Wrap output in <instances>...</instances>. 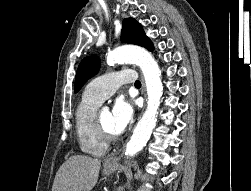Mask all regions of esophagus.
I'll list each match as a JSON object with an SVG mask.
<instances>
[{
	"mask_svg": "<svg viewBox=\"0 0 251 191\" xmlns=\"http://www.w3.org/2000/svg\"><path fill=\"white\" fill-rule=\"evenodd\" d=\"M141 78H142V93L145 95V92H146L145 82H144L143 77H141ZM144 105H145V103H144ZM143 111H144V107H143V109H142V113H143ZM142 113H141V114H142ZM118 160H119V158H118L117 156H115V157H113V158H108V159L106 160V163H105V164H106L107 166L114 167V166L117 164Z\"/></svg>",
	"mask_w": 251,
	"mask_h": 191,
	"instance_id": "esophagus-1",
	"label": "esophagus"
}]
</instances>
